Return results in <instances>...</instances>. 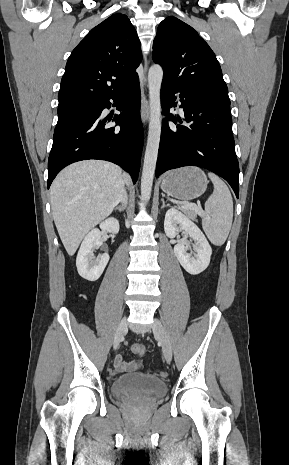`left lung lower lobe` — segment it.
<instances>
[{"instance_id": "left-lung-lower-lobe-1", "label": "left lung lower lobe", "mask_w": 289, "mask_h": 465, "mask_svg": "<svg viewBox=\"0 0 289 465\" xmlns=\"http://www.w3.org/2000/svg\"><path fill=\"white\" fill-rule=\"evenodd\" d=\"M184 110L189 126H169L177 123L169 113L176 106V96ZM162 133L156 165V177L167 170L183 166L206 168L224 178L239 197V165L234 150L230 105L214 101L194 92L162 83ZM181 122L180 119H178Z\"/></svg>"}]
</instances>
